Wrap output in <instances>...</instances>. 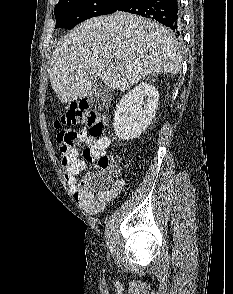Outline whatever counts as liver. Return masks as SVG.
<instances>
[{"label": "liver", "instance_id": "6515ba94", "mask_svg": "<svg viewBox=\"0 0 233 294\" xmlns=\"http://www.w3.org/2000/svg\"><path fill=\"white\" fill-rule=\"evenodd\" d=\"M181 65L178 44L164 26L119 12L71 30L53 52L49 78L64 104L87 97L98 77L124 91L150 74H177Z\"/></svg>", "mask_w": 233, "mask_h": 294}]
</instances>
